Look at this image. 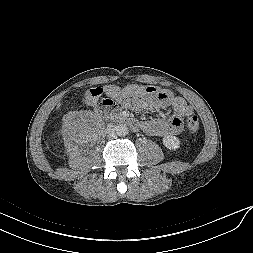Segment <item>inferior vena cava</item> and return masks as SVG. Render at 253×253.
I'll use <instances>...</instances> for the list:
<instances>
[{"mask_svg": "<svg viewBox=\"0 0 253 253\" xmlns=\"http://www.w3.org/2000/svg\"><path fill=\"white\" fill-rule=\"evenodd\" d=\"M106 132L108 133V136L111 138H114L116 136V133L112 127H108L106 129Z\"/></svg>", "mask_w": 253, "mask_h": 253, "instance_id": "602c4592", "label": "inferior vena cava"}]
</instances>
